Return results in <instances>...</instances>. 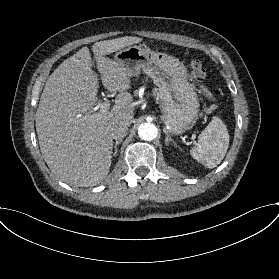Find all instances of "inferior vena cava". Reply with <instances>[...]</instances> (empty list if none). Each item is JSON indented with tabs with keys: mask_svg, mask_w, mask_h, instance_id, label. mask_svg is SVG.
I'll use <instances>...</instances> for the list:
<instances>
[{
	"mask_svg": "<svg viewBox=\"0 0 279 279\" xmlns=\"http://www.w3.org/2000/svg\"><path fill=\"white\" fill-rule=\"evenodd\" d=\"M128 124L119 123L111 127L109 133L112 139L119 140L124 138L128 132Z\"/></svg>",
	"mask_w": 279,
	"mask_h": 279,
	"instance_id": "602c4592",
	"label": "inferior vena cava"
}]
</instances>
